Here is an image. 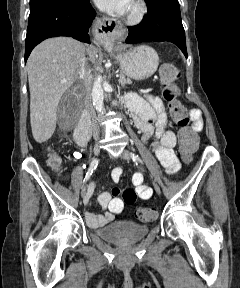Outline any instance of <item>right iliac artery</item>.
Segmentation results:
<instances>
[{
  "instance_id": "obj_1",
  "label": "right iliac artery",
  "mask_w": 240,
  "mask_h": 288,
  "mask_svg": "<svg viewBox=\"0 0 240 288\" xmlns=\"http://www.w3.org/2000/svg\"><path fill=\"white\" fill-rule=\"evenodd\" d=\"M98 161H99L98 159L92 160V162L90 164V167H89V169H88V171L86 173V176H85V178L83 180V184H85L89 180L90 176L93 173V170L97 167ZM83 167L85 168V165Z\"/></svg>"
}]
</instances>
